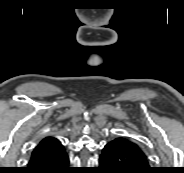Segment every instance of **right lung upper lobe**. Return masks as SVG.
<instances>
[{"instance_id":"1","label":"right lung upper lobe","mask_w":184,"mask_h":173,"mask_svg":"<svg viewBox=\"0 0 184 173\" xmlns=\"http://www.w3.org/2000/svg\"><path fill=\"white\" fill-rule=\"evenodd\" d=\"M61 146L62 144L58 139L54 137H46L34 149V151L32 152V156L50 153Z\"/></svg>"}]
</instances>
